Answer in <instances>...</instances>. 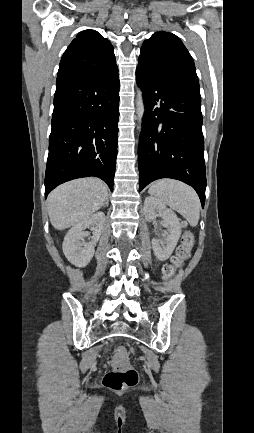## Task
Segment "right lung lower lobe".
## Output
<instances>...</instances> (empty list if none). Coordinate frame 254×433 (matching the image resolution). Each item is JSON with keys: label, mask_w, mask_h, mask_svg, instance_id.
<instances>
[{"label": "right lung lower lobe", "mask_w": 254, "mask_h": 433, "mask_svg": "<svg viewBox=\"0 0 254 433\" xmlns=\"http://www.w3.org/2000/svg\"><path fill=\"white\" fill-rule=\"evenodd\" d=\"M118 68L56 83L45 198L58 185L95 176L113 191L119 117Z\"/></svg>", "instance_id": "1"}]
</instances>
